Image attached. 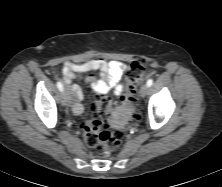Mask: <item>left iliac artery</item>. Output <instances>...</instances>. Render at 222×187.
<instances>
[{"label": "left iliac artery", "mask_w": 222, "mask_h": 187, "mask_svg": "<svg viewBox=\"0 0 222 187\" xmlns=\"http://www.w3.org/2000/svg\"><path fill=\"white\" fill-rule=\"evenodd\" d=\"M152 84H153V80H152V79H149V80L147 81V85L150 87Z\"/></svg>", "instance_id": "1"}]
</instances>
